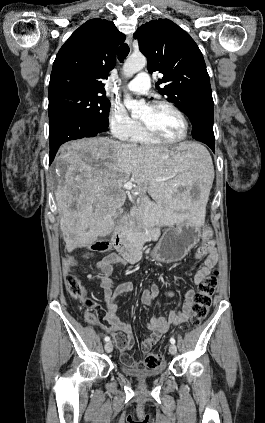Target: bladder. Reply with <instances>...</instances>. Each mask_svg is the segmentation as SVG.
Listing matches in <instances>:
<instances>
[{"label":"bladder","instance_id":"31cf9c89","mask_svg":"<svg viewBox=\"0 0 265 423\" xmlns=\"http://www.w3.org/2000/svg\"><path fill=\"white\" fill-rule=\"evenodd\" d=\"M121 370L124 374L131 377L148 378V377H155L162 374V372L164 371V368L142 369V368H132L122 364Z\"/></svg>","mask_w":265,"mask_h":423}]
</instances>
